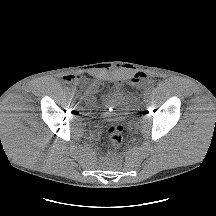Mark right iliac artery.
<instances>
[{
	"instance_id": "obj_1",
	"label": "right iliac artery",
	"mask_w": 216,
	"mask_h": 216,
	"mask_svg": "<svg viewBox=\"0 0 216 216\" xmlns=\"http://www.w3.org/2000/svg\"><path fill=\"white\" fill-rule=\"evenodd\" d=\"M69 90H70L71 93H74V92H75V89L72 88V87H71Z\"/></svg>"
}]
</instances>
